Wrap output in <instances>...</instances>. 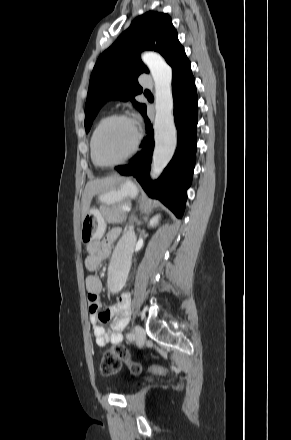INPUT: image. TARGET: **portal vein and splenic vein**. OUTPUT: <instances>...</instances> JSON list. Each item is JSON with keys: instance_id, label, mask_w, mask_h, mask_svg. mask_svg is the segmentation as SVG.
Returning a JSON list of instances; mask_svg holds the SVG:
<instances>
[{"instance_id": "obj_1", "label": "portal vein and splenic vein", "mask_w": 291, "mask_h": 440, "mask_svg": "<svg viewBox=\"0 0 291 440\" xmlns=\"http://www.w3.org/2000/svg\"><path fill=\"white\" fill-rule=\"evenodd\" d=\"M122 209H123L125 212H129V211H130V208L127 207V206H123Z\"/></svg>"}]
</instances>
